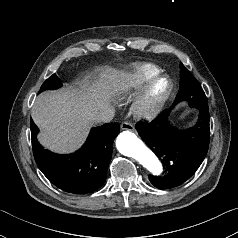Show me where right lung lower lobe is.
Returning <instances> with one entry per match:
<instances>
[{"instance_id":"98d812e1","label":"right lung lower lobe","mask_w":238,"mask_h":238,"mask_svg":"<svg viewBox=\"0 0 238 238\" xmlns=\"http://www.w3.org/2000/svg\"><path fill=\"white\" fill-rule=\"evenodd\" d=\"M30 129L35 161L53 185L68 193L87 194L104 184L113 140L119 133L118 123L92 128L84 146L71 155H58L44 149L36 139L39 130L33 122Z\"/></svg>"}]
</instances>
